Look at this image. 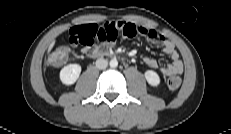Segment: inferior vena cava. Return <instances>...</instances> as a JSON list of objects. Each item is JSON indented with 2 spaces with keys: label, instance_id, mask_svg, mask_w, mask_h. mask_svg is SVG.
I'll list each match as a JSON object with an SVG mask.
<instances>
[{
  "label": "inferior vena cava",
  "instance_id": "1",
  "mask_svg": "<svg viewBox=\"0 0 231 134\" xmlns=\"http://www.w3.org/2000/svg\"><path fill=\"white\" fill-rule=\"evenodd\" d=\"M107 66H108V62L104 58H98L96 60V67L98 69H105Z\"/></svg>",
  "mask_w": 231,
  "mask_h": 134
}]
</instances>
